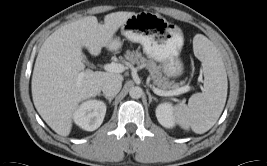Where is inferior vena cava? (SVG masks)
Wrapping results in <instances>:
<instances>
[{
    "instance_id": "1",
    "label": "inferior vena cava",
    "mask_w": 267,
    "mask_h": 166,
    "mask_svg": "<svg viewBox=\"0 0 267 166\" xmlns=\"http://www.w3.org/2000/svg\"><path fill=\"white\" fill-rule=\"evenodd\" d=\"M122 87V81L118 78H109L102 85V92L106 96H115Z\"/></svg>"
}]
</instances>
